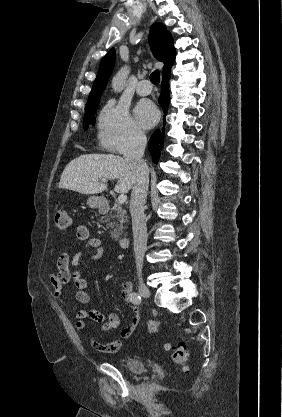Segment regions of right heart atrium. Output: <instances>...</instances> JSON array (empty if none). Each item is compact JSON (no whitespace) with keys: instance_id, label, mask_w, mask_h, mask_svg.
<instances>
[{"instance_id":"right-heart-atrium-1","label":"right heart atrium","mask_w":282,"mask_h":417,"mask_svg":"<svg viewBox=\"0 0 282 417\" xmlns=\"http://www.w3.org/2000/svg\"><path fill=\"white\" fill-rule=\"evenodd\" d=\"M101 144L114 152L127 154L143 143L144 135L122 104L109 101L98 123Z\"/></svg>"}]
</instances>
